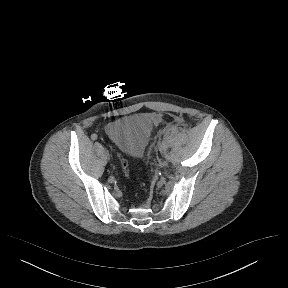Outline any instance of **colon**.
<instances>
[{"mask_svg": "<svg viewBox=\"0 0 288 288\" xmlns=\"http://www.w3.org/2000/svg\"><path fill=\"white\" fill-rule=\"evenodd\" d=\"M121 165H122L123 173L126 176H128L129 173H130L128 162H127V160L124 158V156L122 154H121Z\"/></svg>", "mask_w": 288, "mask_h": 288, "instance_id": "obj_1", "label": "colon"}]
</instances>
